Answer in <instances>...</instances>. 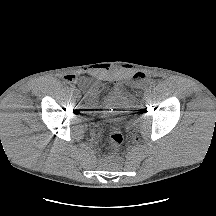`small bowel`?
Segmentation results:
<instances>
[{
	"mask_svg": "<svg viewBox=\"0 0 216 216\" xmlns=\"http://www.w3.org/2000/svg\"><path fill=\"white\" fill-rule=\"evenodd\" d=\"M145 77V75L143 73H136L134 76H133V81L135 82H138V81H141L143 80ZM65 79L67 82H74L77 80V76L75 75H69V76H65ZM98 88V85L96 83H92L90 86H89V90L90 91H96Z\"/></svg>",
	"mask_w": 216,
	"mask_h": 216,
	"instance_id": "c3829d8e",
	"label": "small bowel"
}]
</instances>
